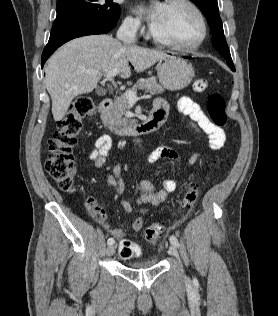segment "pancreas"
<instances>
[{
  "instance_id": "pancreas-1",
  "label": "pancreas",
  "mask_w": 278,
  "mask_h": 316,
  "mask_svg": "<svg viewBox=\"0 0 278 316\" xmlns=\"http://www.w3.org/2000/svg\"><path fill=\"white\" fill-rule=\"evenodd\" d=\"M138 89L145 90L152 95L164 92V88L157 83L155 77L140 78L128 91L136 92ZM128 105L129 101L124 95L115 98L114 107L107 115V122L112 129L118 130L132 122L131 119L124 117L128 110Z\"/></svg>"
}]
</instances>
